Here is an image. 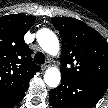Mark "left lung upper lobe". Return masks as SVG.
Segmentation results:
<instances>
[{
  "mask_svg": "<svg viewBox=\"0 0 108 108\" xmlns=\"http://www.w3.org/2000/svg\"><path fill=\"white\" fill-rule=\"evenodd\" d=\"M62 37V77L108 85V43L93 28L71 17L51 19Z\"/></svg>",
  "mask_w": 108,
  "mask_h": 108,
  "instance_id": "5c2ea615",
  "label": "left lung upper lobe"
}]
</instances>
